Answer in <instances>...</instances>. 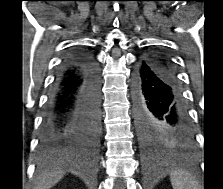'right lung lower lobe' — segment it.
<instances>
[{
	"mask_svg": "<svg viewBox=\"0 0 223 189\" xmlns=\"http://www.w3.org/2000/svg\"><path fill=\"white\" fill-rule=\"evenodd\" d=\"M100 132L99 70L85 51H74L59 67L48 95L40 131L46 153L96 149Z\"/></svg>",
	"mask_w": 223,
	"mask_h": 189,
	"instance_id": "obj_1",
	"label": "right lung lower lobe"
}]
</instances>
